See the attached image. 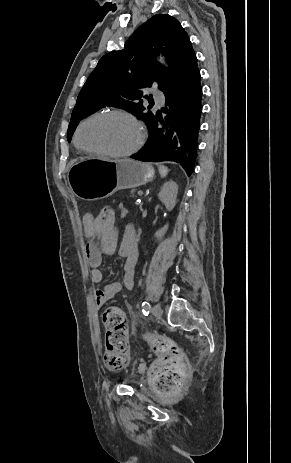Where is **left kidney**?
I'll return each mask as SVG.
<instances>
[{
    "label": "left kidney",
    "instance_id": "obj_1",
    "mask_svg": "<svg viewBox=\"0 0 291 463\" xmlns=\"http://www.w3.org/2000/svg\"><path fill=\"white\" fill-rule=\"evenodd\" d=\"M178 186L174 181H169L163 185L158 194L160 201L166 206L168 211H172L176 205ZM168 225L155 233V237L160 239L167 231Z\"/></svg>",
    "mask_w": 291,
    "mask_h": 463
}]
</instances>
